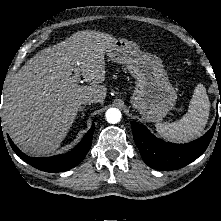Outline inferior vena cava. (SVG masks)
Here are the masks:
<instances>
[{
  "mask_svg": "<svg viewBox=\"0 0 221 221\" xmlns=\"http://www.w3.org/2000/svg\"><path fill=\"white\" fill-rule=\"evenodd\" d=\"M91 104V103H96V100L95 99H85L82 101V104Z\"/></svg>",
  "mask_w": 221,
  "mask_h": 221,
  "instance_id": "1",
  "label": "inferior vena cava"
}]
</instances>
